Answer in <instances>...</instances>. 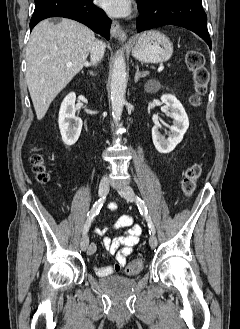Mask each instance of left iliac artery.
Returning <instances> with one entry per match:
<instances>
[{"label":"left iliac artery","instance_id":"left-iliac-artery-1","mask_svg":"<svg viewBox=\"0 0 240 329\" xmlns=\"http://www.w3.org/2000/svg\"><path fill=\"white\" fill-rule=\"evenodd\" d=\"M136 203H137V206H138V209L140 211V213L145 217L147 223H148V227H149V233L150 234H155V227L152 223V220L148 214V210H147V207L144 203V201L140 198V197H136Z\"/></svg>","mask_w":240,"mask_h":329}]
</instances>
